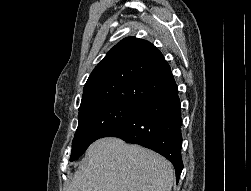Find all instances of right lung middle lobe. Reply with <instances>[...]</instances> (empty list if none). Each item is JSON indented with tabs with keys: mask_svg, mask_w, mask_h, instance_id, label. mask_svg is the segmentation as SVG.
I'll return each instance as SVG.
<instances>
[{
	"mask_svg": "<svg viewBox=\"0 0 251 191\" xmlns=\"http://www.w3.org/2000/svg\"><path fill=\"white\" fill-rule=\"evenodd\" d=\"M140 107L125 102H109L79 111V123L72 142L70 161L76 160L91 143L120 125Z\"/></svg>",
	"mask_w": 251,
	"mask_h": 191,
	"instance_id": "obj_1",
	"label": "right lung middle lobe"
}]
</instances>
